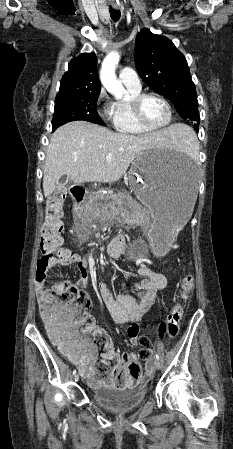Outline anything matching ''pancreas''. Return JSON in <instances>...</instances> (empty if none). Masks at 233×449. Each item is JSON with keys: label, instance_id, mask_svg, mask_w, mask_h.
Listing matches in <instances>:
<instances>
[{"label": "pancreas", "instance_id": "cf45deb5", "mask_svg": "<svg viewBox=\"0 0 233 449\" xmlns=\"http://www.w3.org/2000/svg\"><path fill=\"white\" fill-rule=\"evenodd\" d=\"M126 199L129 202V206H135L132 208L131 218L134 223L138 225H146L149 222L148 210L138 206L132 199L126 194L115 195H102L98 194L93 196L86 205L85 212L87 214L88 222L100 218H114L122 210V206L116 207L118 201Z\"/></svg>", "mask_w": 233, "mask_h": 449}]
</instances>
